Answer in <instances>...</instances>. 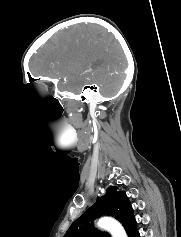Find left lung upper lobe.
Wrapping results in <instances>:
<instances>
[{
  "mask_svg": "<svg viewBox=\"0 0 181 237\" xmlns=\"http://www.w3.org/2000/svg\"><path fill=\"white\" fill-rule=\"evenodd\" d=\"M104 215L119 220L128 237H134L138 233L137 222L126 193L111 186L93 206L72 223L64 237H109L107 233L99 232L93 225L95 218Z\"/></svg>",
  "mask_w": 181,
  "mask_h": 237,
  "instance_id": "left-lung-upper-lobe-1",
  "label": "left lung upper lobe"
}]
</instances>
